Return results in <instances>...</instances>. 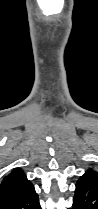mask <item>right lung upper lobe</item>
<instances>
[{
    "instance_id": "1",
    "label": "right lung upper lobe",
    "mask_w": 98,
    "mask_h": 209,
    "mask_svg": "<svg viewBox=\"0 0 98 209\" xmlns=\"http://www.w3.org/2000/svg\"><path fill=\"white\" fill-rule=\"evenodd\" d=\"M33 185L21 168H14L0 183V209L10 204Z\"/></svg>"
}]
</instances>
